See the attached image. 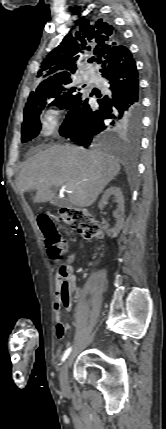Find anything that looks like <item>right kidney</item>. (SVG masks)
<instances>
[{
	"instance_id": "ca27d5eb",
	"label": "right kidney",
	"mask_w": 166,
	"mask_h": 429,
	"mask_svg": "<svg viewBox=\"0 0 166 429\" xmlns=\"http://www.w3.org/2000/svg\"><path fill=\"white\" fill-rule=\"evenodd\" d=\"M111 196H113V198L117 203V209L113 213L116 219V224H115V227L112 229L105 227V230L109 237L115 238L119 234L120 230L123 228V223H124V196L122 194L121 189L117 186H110L104 192L98 207L99 209L102 210L104 205L107 203V201Z\"/></svg>"
}]
</instances>
